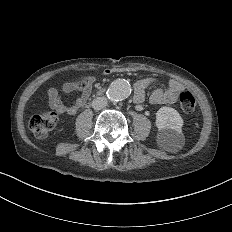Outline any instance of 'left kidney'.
I'll use <instances>...</instances> for the list:
<instances>
[{
    "label": "left kidney",
    "instance_id": "obj_1",
    "mask_svg": "<svg viewBox=\"0 0 232 232\" xmlns=\"http://www.w3.org/2000/svg\"><path fill=\"white\" fill-rule=\"evenodd\" d=\"M183 119L173 108L161 107L156 113V126L158 127V138H169L175 135L176 138L182 135Z\"/></svg>",
    "mask_w": 232,
    "mask_h": 232
}]
</instances>
